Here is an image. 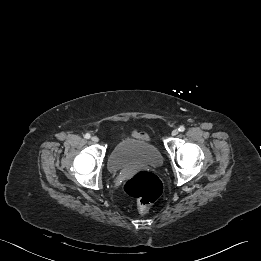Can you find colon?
Returning <instances> with one entry per match:
<instances>
[{
    "instance_id": "obj_1",
    "label": "colon",
    "mask_w": 261,
    "mask_h": 261,
    "mask_svg": "<svg viewBox=\"0 0 261 261\" xmlns=\"http://www.w3.org/2000/svg\"><path fill=\"white\" fill-rule=\"evenodd\" d=\"M123 190L127 195L137 199L139 213L144 215L162 194L163 185L156 175L138 171L126 179Z\"/></svg>"
}]
</instances>
